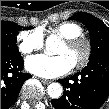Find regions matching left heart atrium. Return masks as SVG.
Returning a JSON list of instances; mask_svg holds the SVG:
<instances>
[{"label":"left heart atrium","instance_id":"1","mask_svg":"<svg viewBox=\"0 0 109 109\" xmlns=\"http://www.w3.org/2000/svg\"><path fill=\"white\" fill-rule=\"evenodd\" d=\"M74 64L68 56L61 54L50 56L39 54L26 60V68L29 72L43 78H57L69 73Z\"/></svg>","mask_w":109,"mask_h":109}]
</instances>
